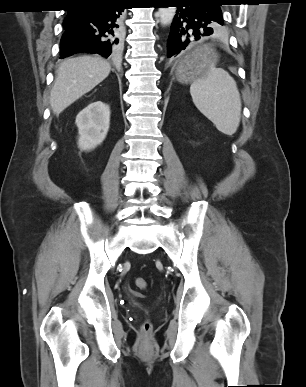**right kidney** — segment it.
<instances>
[{
	"mask_svg": "<svg viewBox=\"0 0 306 387\" xmlns=\"http://www.w3.org/2000/svg\"><path fill=\"white\" fill-rule=\"evenodd\" d=\"M78 147L83 151L96 148L106 138L110 125V107L96 101L84 108L76 117Z\"/></svg>",
	"mask_w": 306,
	"mask_h": 387,
	"instance_id": "right-kidney-1",
	"label": "right kidney"
}]
</instances>
